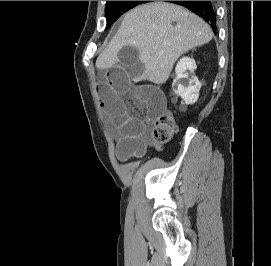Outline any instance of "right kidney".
<instances>
[{
	"instance_id": "obj_1",
	"label": "right kidney",
	"mask_w": 271,
	"mask_h": 266,
	"mask_svg": "<svg viewBox=\"0 0 271 266\" xmlns=\"http://www.w3.org/2000/svg\"><path fill=\"white\" fill-rule=\"evenodd\" d=\"M196 70L195 60L189 57L181 58L175 68L176 79L173 81L175 93L181 96L185 104H194L199 97L201 83L194 75ZM189 71V72H187Z\"/></svg>"
}]
</instances>
